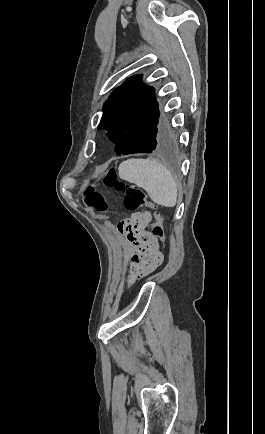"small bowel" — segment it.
I'll return each mask as SVG.
<instances>
[{"mask_svg": "<svg viewBox=\"0 0 265 434\" xmlns=\"http://www.w3.org/2000/svg\"><path fill=\"white\" fill-rule=\"evenodd\" d=\"M124 230L121 232L132 247V261L128 283L136 277L145 276L155 270L163 262V255L156 239L148 230L149 217L142 212L132 213L122 221ZM132 229V231H131Z\"/></svg>", "mask_w": 265, "mask_h": 434, "instance_id": "c3829d8e", "label": "small bowel"}]
</instances>
